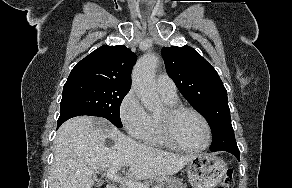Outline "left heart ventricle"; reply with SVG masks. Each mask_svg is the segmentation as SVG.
I'll return each instance as SVG.
<instances>
[{
  "mask_svg": "<svg viewBox=\"0 0 292 188\" xmlns=\"http://www.w3.org/2000/svg\"><path fill=\"white\" fill-rule=\"evenodd\" d=\"M164 110L159 114L163 115ZM176 139L185 147L197 148L206 140V130L203 122L192 113L178 116L173 124Z\"/></svg>",
  "mask_w": 292,
  "mask_h": 188,
  "instance_id": "b2bd125f",
  "label": "left heart ventricle"
}]
</instances>
